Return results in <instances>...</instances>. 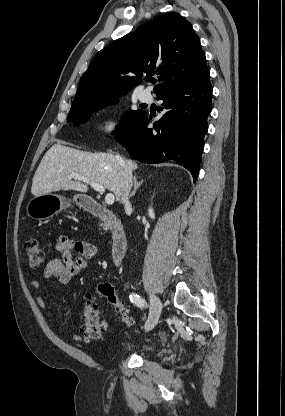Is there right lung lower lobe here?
Returning <instances> with one entry per match:
<instances>
[{"instance_id":"obj_1","label":"right lung lower lobe","mask_w":285,"mask_h":416,"mask_svg":"<svg viewBox=\"0 0 285 416\" xmlns=\"http://www.w3.org/2000/svg\"><path fill=\"white\" fill-rule=\"evenodd\" d=\"M211 97L210 74L174 87L157 97L164 101L161 110L165 113L153 124V129L147 128L150 119L144 115L116 138L135 159L144 163L174 160L187 168L195 181Z\"/></svg>"}]
</instances>
